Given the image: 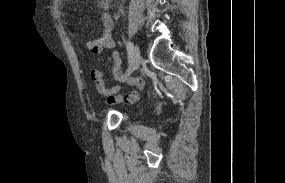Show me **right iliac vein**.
<instances>
[{"label": "right iliac vein", "instance_id": "63e3f726", "mask_svg": "<svg viewBox=\"0 0 285 183\" xmlns=\"http://www.w3.org/2000/svg\"><path fill=\"white\" fill-rule=\"evenodd\" d=\"M140 65V51L139 48L136 46L133 56L131 58L128 74L132 73L133 71L137 70Z\"/></svg>", "mask_w": 285, "mask_h": 183}]
</instances>
